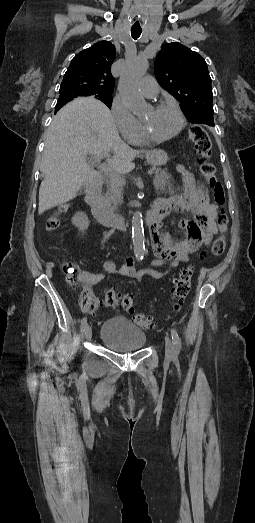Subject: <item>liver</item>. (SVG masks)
<instances>
[{
	"label": "liver",
	"instance_id": "6515ba94",
	"mask_svg": "<svg viewBox=\"0 0 255 523\" xmlns=\"http://www.w3.org/2000/svg\"><path fill=\"white\" fill-rule=\"evenodd\" d=\"M109 170L129 174L135 168L133 160L139 152L129 148L119 138L112 114L102 102L78 98L54 116L46 132L40 172L45 178L39 188L38 214H44L59 204L76 198L85 182L95 176L85 156H108Z\"/></svg>",
	"mask_w": 255,
	"mask_h": 523
}]
</instances>
